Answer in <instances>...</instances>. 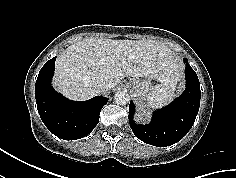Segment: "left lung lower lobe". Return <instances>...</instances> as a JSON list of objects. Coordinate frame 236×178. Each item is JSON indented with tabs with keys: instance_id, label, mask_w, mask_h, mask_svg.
I'll return each instance as SVG.
<instances>
[{
	"instance_id": "obj_1",
	"label": "left lung lower lobe",
	"mask_w": 236,
	"mask_h": 178,
	"mask_svg": "<svg viewBox=\"0 0 236 178\" xmlns=\"http://www.w3.org/2000/svg\"><path fill=\"white\" fill-rule=\"evenodd\" d=\"M186 63V89L183 94L170 105L155 111L147 125L133 121L135 107L129 106V122L135 136L153 146L165 147L180 141L195 122L200 106V83L196 72Z\"/></svg>"
}]
</instances>
